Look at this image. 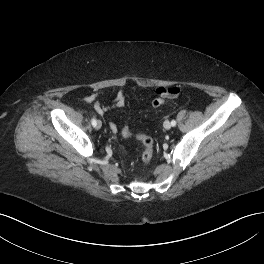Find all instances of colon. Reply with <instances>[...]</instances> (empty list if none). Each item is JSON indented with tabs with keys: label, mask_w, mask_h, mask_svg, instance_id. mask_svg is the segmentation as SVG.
I'll return each instance as SVG.
<instances>
[{
	"label": "colon",
	"mask_w": 264,
	"mask_h": 264,
	"mask_svg": "<svg viewBox=\"0 0 264 264\" xmlns=\"http://www.w3.org/2000/svg\"><path fill=\"white\" fill-rule=\"evenodd\" d=\"M164 99L161 97H156L153 99L152 101V105L154 107H159L164 103ZM122 135L124 137H130L131 133L129 131L128 127H124L122 129ZM136 138L142 143L143 145V150H142V154H141V163L143 165H147L150 160L152 159L153 156V152H154V140L151 136L148 135H144V134H140L137 135Z\"/></svg>",
	"instance_id": "5ec220e1"
}]
</instances>
